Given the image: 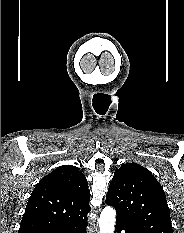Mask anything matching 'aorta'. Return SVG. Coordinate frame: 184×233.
<instances>
[{"instance_id": "1", "label": "aorta", "mask_w": 184, "mask_h": 233, "mask_svg": "<svg viewBox=\"0 0 184 233\" xmlns=\"http://www.w3.org/2000/svg\"><path fill=\"white\" fill-rule=\"evenodd\" d=\"M115 220V210L110 206H106L99 219L100 233H114Z\"/></svg>"}]
</instances>
